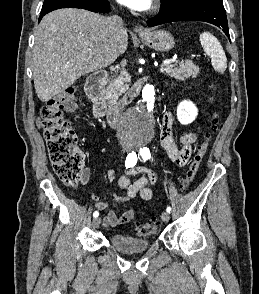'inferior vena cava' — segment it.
Masks as SVG:
<instances>
[{
	"label": "inferior vena cava",
	"instance_id": "602c4592",
	"mask_svg": "<svg viewBox=\"0 0 259 294\" xmlns=\"http://www.w3.org/2000/svg\"><path fill=\"white\" fill-rule=\"evenodd\" d=\"M108 26L114 39H117L119 34L124 30L122 18L118 15H113L108 18Z\"/></svg>",
	"mask_w": 259,
	"mask_h": 294
}]
</instances>
